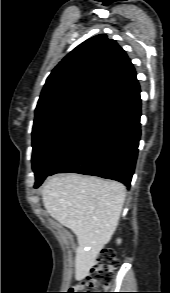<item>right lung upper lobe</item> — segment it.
<instances>
[{"label":"right lung upper lobe","mask_w":170,"mask_h":293,"mask_svg":"<svg viewBox=\"0 0 170 293\" xmlns=\"http://www.w3.org/2000/svg\"><path fill=\"white\" fill-rule=\"evenodd\" d=\"M139 89L125 51L105 34L94 36L71 51L46 80L34 124L77 104H110Z\"/></svg>","instance_id":"1"}]
</instances>
